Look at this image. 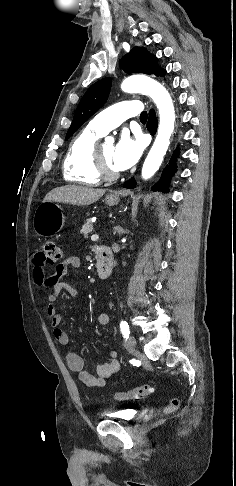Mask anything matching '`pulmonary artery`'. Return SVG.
Here are the masks:
<instances>
[{
	"label": "pulmonary artery",
	"mask_w": 236,
	"mask_h": 486,
	"mask_svg": "<svg viewBox=\"0 0 236 486\" xmlns=\"http://www.w3.org/2000/svg\"><path fill=\"white\" fill-rule=\"evenodd\" d=\"M142 110L143 105L138 100L119 102L96 115L89 122L88 127L102 136L118 127L126 119L140 115Z\"/></svg>",
	"instance_id": "obj_1"
}]
</instances>
